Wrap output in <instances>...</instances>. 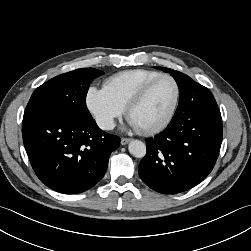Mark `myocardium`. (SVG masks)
Segmentation results:
<instances>
[{
  "label": "myocardium",
  "instance_id": "myocardium-1",
  "mask_svg": "<svg viewBox=\"0 0 251 251\" xmlns=\"http://www.w3.org/2000/svg\"><path fill=\"white\" fill-rule=\"evenodd\" d=\"M161 79H170L174 84L175 96L173 104L167 116L160 123L148 128L140 129V131L144 134H155L162 131L170 124V122L174 118L179 105V100L181 95L180 86L176 78L170 74H160L155 78L149 80L135 93V95L130 99L125 108L126 116L129 119L131 111L143 101V99L145 98L151 87Z\"/></svg>",
  "mask_w": 251,
  "mask_h": 251
}]
</instances>
